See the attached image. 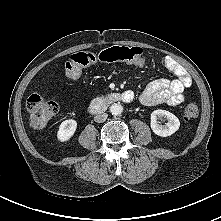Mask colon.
Returning <instances> with one entry per match:
<instances>
[{
  "instance_id": "1",
  "label": "colon",
  "mask_w": 221,
  "mask_h": 221,
  "mask_svg": "<svg viewBox=\"0 0 221 221\" xmlns=\"http://www.w3.org/2000/svg\"><path fill=\"white\" fill-rule=\"evenodd\" d=\"M144 52L139 47L113 46L100 51H83L70 56L66 62V76L77 79L81 70L97 62H126L140 65L144 62ZM27 111L30 125L34 129H43L58 111V104L51 99H45L38 93L31 94L27 99ZM184 117L195 119L199 109L194 104H188L183 110Z\"/></svg>"
}]
</instances>
